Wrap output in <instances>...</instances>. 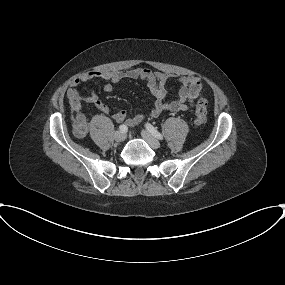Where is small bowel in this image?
<instances>
[{
  "instance_id": "small-bowel-1",
  "label": "small bowel",
  "mask_w": 285,
  "mask_h": 285,
  "mask_svg": "<svg viewBox=\"0 0 285 285\" xmlns=\"http://www.w3.org/2000/svg\"><path fill=\"white\" fill-rule=\"evenodd\" d=\"M95 78L106 81L103 87L105 92H111L113 85L124 79H140L145 81L154 97V105L149 112V115L152 117H157L163 112L184 111L191 107L202 93V81L199 77L193 75L154 72L149 68H134L123 71H89L73 80L67 91L69 104L76 111L75 121L77 124H85L87 122V116L83 112V102L93 104L101 112H110L108 105L96 93L92 91L87 96H82L78 90L82 83ZM172 78L176 79L179 83L178 96L172 101H167L166 84ZM112 117L117 122H124L126 126L133 127L144 120L145 114L139 113L133 117H127L125 110H118L113 113Z\"/></svg>"
}]
</instances>
